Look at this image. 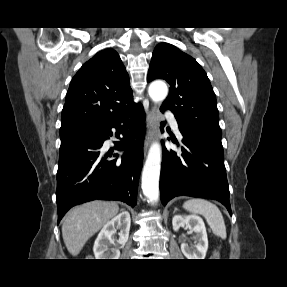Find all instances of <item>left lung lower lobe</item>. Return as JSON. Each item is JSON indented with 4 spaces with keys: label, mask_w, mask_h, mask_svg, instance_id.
Listing matches in <instances>:
<instances>
[{
    "label": "left lung lower lobe",
    "mask_w": 287,
    "mask_h": 287,
    "mask_svg": "<svg viewBox=\"0 0 287 287\" xmlns=\"http://www.w3.org/2000/svg\"><path fill=\"white\" fill-rule=\"evenodd\" d=\"M163 111V110H162ZM183 135L180 152L163 145L160 175L161 202L176 196H192L221 202L232 215L223 148L179 128Z\"/></svg>",
    "instance_id": "1"
}]
</instances>
